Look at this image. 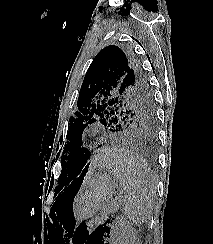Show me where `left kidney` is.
<instances>
[{
	"label": "left kidney",
	"instance_id": "obj_1",
	"mask_svg": "<svg viewBox=\"0 0 213 244\" xmlns=\"http://www.w3.org/2000/svg\"><path fill=\"white\" fill-rule=\"evenodd\" d=\"M110 244H137L135 230L130 226H119L110 238Z\"/></svg>",
	"mask_w": 213,
	"mask_h": 244
}]
</instances>
